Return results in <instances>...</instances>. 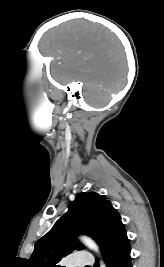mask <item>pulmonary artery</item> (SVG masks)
<instances>
[{"label":"pulmonary artery","mask_w":164,"mask_h":267,"mask_svg":"<svg viewBox=\"0 0 164 267\" xmlns=\"http://www.w3.org/2000/svg\"><path fill=\"white\" fill-rule=\"evenodd\" d=\"M92 264H93V258L88 253L77 255L74 258H69L67 260L68 267H84L86 265H92Z\"/></svg>","instance_id":"1"}]
</instances>
